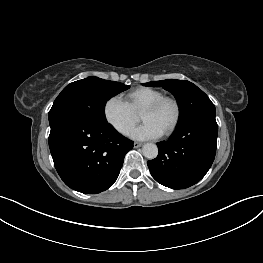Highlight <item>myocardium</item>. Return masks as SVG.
Segmentation results:
<instances>
[{"mask_svg":"<svg viewBox=\"0 0 263 263\" xmlns=\"http://www.w3.org/2000/svg\"><path fill=\"white\" fill-rule=\"evenodd\" d=\"M166 103H170L172 104L173 108H174V116L173 119L171 121V123L169 124V126L166 128V130L163 132L164 135H170L174 132V130L176 129L180 118H181V105L179 103V101L172 96H163L158 98L157 100L147 104L142 111H153V110H157L160 107H162L164 104Z\"/></svg>","mask_w":263,"mask_h":263,"instance_id":"myocardium-1","label":"myocardium"}]
</instances>
